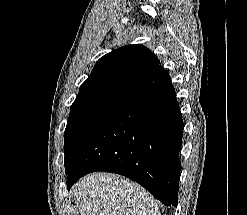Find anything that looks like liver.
Masks as SVG:
<instances>
[{"label":"liver","mask_w":247,"mask_h":215,"mask_svg":"<svg viewBox=\"0 0 247 215\" xmlns=\"http://www.w3.org/2000/svg\"><path fill=\"white\" fill-rule=\"evenodd\" d=\"M72 193L80 215H161L144 188L115 174H90Z\"/></svg>","instance_id":"1"}]
</instances>
